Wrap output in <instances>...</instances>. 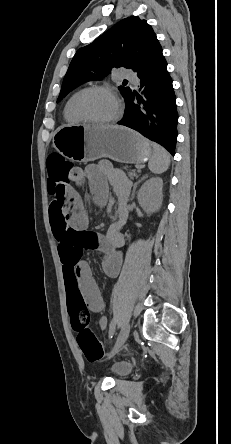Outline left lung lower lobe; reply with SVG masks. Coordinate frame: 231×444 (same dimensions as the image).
Masks as SVG:
<instances>
[{
    "label": "left lung lower lobe",
    "mask_w": 231,
    "mask_h": 444,
    "mask_svg": "<svg viewBox=\"0 0 231 444\" xmlns=\"http://www.w3.org/2000/svg\"><path fill=\"white\" fill-rule=\"evenodd\" d=\"M142 96L131 90L118 123L163 145L172 155L177 141L178 114L172 79L160 48L137 72Z\"/></svg>",
    "instance_id": "1"
}]
</instances>
